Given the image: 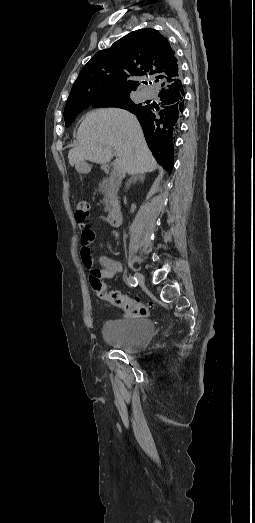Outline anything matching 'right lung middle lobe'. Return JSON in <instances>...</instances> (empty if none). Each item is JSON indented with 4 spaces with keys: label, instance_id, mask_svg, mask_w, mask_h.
Masks as SVG:
<instances>
[{
    "label": "right lung middle lobe",
    "instance_id": "1",
    "mask_svg": "<svg viewBox=\"0 0 255 523\" xmlns=\"http://www.w3.org/2000/svg\"><path fill=\"white\" fill-rule=\"evenodd\" d=\"M129 96L130 94L112 95L91 102L66 104L64 109L65 125L66 127L70 126L71 123L75 120L78 113H80L90 105H92V107L124 108L125 103L131 100Z\"/></svg>",
    "mask_w": 255,
    "mask_h": 523
}]
</instances>
